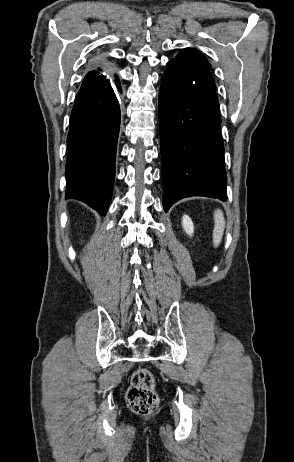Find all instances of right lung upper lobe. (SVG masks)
Returning a JSON list of instances; mask_svg holds the SVG:
<instances>
[{"label":"right lung upper lobe","instance_id":"cb5924a9","mask_svg":"<svg viewBox=\"0 0 294 462\" xmlns=\"http://www.w3.org/2000/svg\"><path fill=\"white\" fill-rule=\"evenodd\" d=\"M107 76H112L111 68L106 60H100L99 65H97L92 71L88 72L85 76L83 82L87 81H98Z\"/></svg>","mask_w":294,"mask_h":462}]
</instances>
